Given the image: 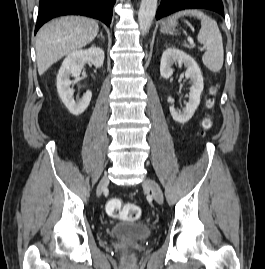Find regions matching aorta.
<instances>
[{"instance_id":"762f6f07","label":"aorta","mask_w":265,"mask_h":269,"mask_svg":"<svg viewBox=\"0 0 265 269\" xmlns=\"http://www.w3.org/2000/svg\"><path fill=\"white\" fill-rule=\"evenodd\" d=\"M157 10V0H141L138 23L140 30L146 34L153 22Z\"/></svg>"}]
</instances>
